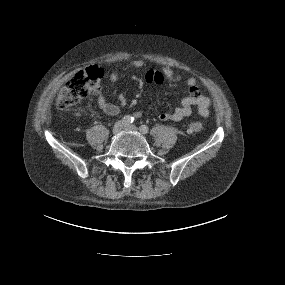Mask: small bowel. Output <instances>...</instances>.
Wrapping results in <instances>:
<instances>
[{
	"instance_id": "1",
	"label": "small bowel",
	"mask_w": 285,
	"mask_h": 285,
	"mask_svg": "<svg viewBox=\"0 0 285 285\" xmlns=\"http://www.w3.org/2000/svg\"><path fill=\"white\" fill-rule=\"evenodd\" d=\"M130 65L133 68H140L145 65V62L143 60H134ZM109 78L111 82L115 83L118 81L119 75L116 72H112ZM183 79H185L189 94L182 100L181 105L175 110H158L157 115L159 119L163 121H181L192 114L194 107L198 108V112L202 117L209 116V107L211 104L210 98L200 92L196 78L192 76L185 78L182 74H178L168 67H164L160 71L150 70L145 75V81L147 84L158 85L163 83L165 80L170 83H178ZM119 102L121 105L126 104V97L123 94L119 95ZM97 103L99 109L108 115L113 116L119 113V106L108 102L102 94L98 96ZM135 116L140 117V113H136Z\"/></svg>"
}]
</instances>
